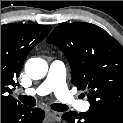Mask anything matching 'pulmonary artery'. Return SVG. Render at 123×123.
Returning <instances> with one entry per match:
<instances>
[{"label":"pulmonary artery","mask_w":123,"mask_h":123,"mask_svg":"<svg viewBox=\"0 0 123 123\" xmlns=\"http://www.w3.org/2000/svg\"><path fill=\"white\" fill-rule=\"evenodd\" d=\"M65 78L66 69L64 64L60 61H54L49 67L45 80L37 88H29L24 93L29 96H44L53 92L63 103L72 105L81 111H87L89 103L78 102L74 99L68 90Z\"/></svg>","instance_id":"1"}]
</instances>
